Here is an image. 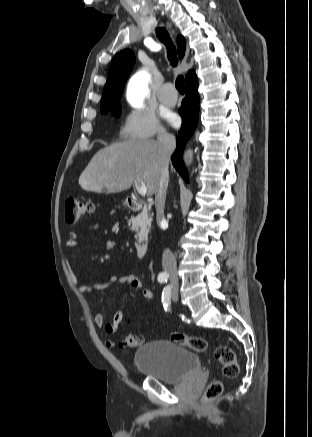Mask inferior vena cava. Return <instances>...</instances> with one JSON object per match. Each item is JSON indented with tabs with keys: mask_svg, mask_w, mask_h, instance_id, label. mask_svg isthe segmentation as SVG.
<instances>
[{
	"mask_svg": "<svg viewBox=\"0 0 312 437\" xmlns=\"http://www.w3.org/2000/svg\"><path fill=\"white\" fill-rule=\"evenodd\" d=\"M158 143L160 146L159 153H160L162 166H161L160 176L158 180L157 190L155 192V202H156V209H157V222H160V220L164 221L163 214H164L165 198H166V191L169 183L168 166H169L170 156L172 155V153L176 148V141L173 135L168 134L166 131H162L158 136ZM162 266L163 269L170 274L177 273L176 258L168 248L164 250L162 255Z\"/></svg>",
	"mask_w": 312,
	"mask_h": 437,
	"instance_id": "602c4592",
	"label": "inferior vena cava"
}]
</instances>
